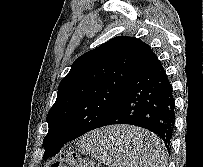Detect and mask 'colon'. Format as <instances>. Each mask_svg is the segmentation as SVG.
I'll list each match as a JSON object with an SVG mask.
<instances>
[{
  "label": "colon",
  "instance_id": "5ec220e1",
  "mask_svg": "<svg viewBox=\"0 0 203 167\" xmlns=\"http://www.w3.org/2000/svg\"><path fill=\"white\" fill-rule=\"evenodd\" d=\"M65 160L77 167H94L92 163L86 162L85 160L77 156L75 153L68 154ZM51 167H63V164L60 162H56L52 164Z\"/></svg>",
  "mask_w": 203,
  "mask_h": 167
}]
</instances>
